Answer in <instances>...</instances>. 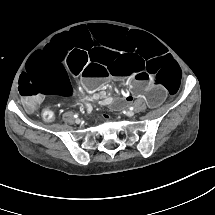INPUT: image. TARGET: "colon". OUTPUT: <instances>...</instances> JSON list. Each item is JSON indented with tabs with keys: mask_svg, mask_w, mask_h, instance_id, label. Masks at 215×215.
<instances>
[{
	"mask_svg": "<svg viewBox=\"0 0 215 215\" xmlns=\"http://www.w3.org/2000/svg\"><path fill=\"white\" fill-rule=\"evenodd\" d=\"M42 117L46 122H51L54 118V114L51 108L49 107L44 108L42 112Z\"/></svg>",
	"mask_w": 215,
	"mask_h": 215,
	"instance_id": "colon-1",
	"label": "colon"
}]
</instances>
